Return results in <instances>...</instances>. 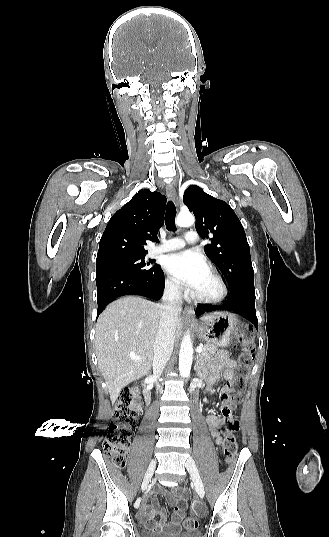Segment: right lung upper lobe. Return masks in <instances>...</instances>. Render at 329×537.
I'll return each instance as SVG.
<instances>
[{"mask_svg": "<svg viewBox=\"0 0 329 537\" xmlns=\"http://www.w3.org/2000/svg\"><path fill=\"white\" fill-rule=\"evenodd\" d=\"M166 197L140 190L109 220L101 237L96 265L121 259L145 257L146 241L154 242L163 225Z\"/></svg>", "mask_w": 329, "mask_h": 537, "instance_id": "cb5924a9", "label": "right lung upper lobe"}]
</instances>
